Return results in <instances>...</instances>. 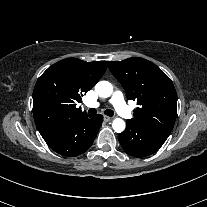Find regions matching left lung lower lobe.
<instances>
[{
    "mask_svg": "<svg viewBox=\"0 0 207 207\" xmlns=\"http://www.w3.org/2000/svg\"><path fill=\"white\" fill-rule=\"evenodd\" d=\"M169 134L142 128L127 120L126 130L118 135L124 151L133 157H146L155 153Z\"/></svg>",
    "mask_w": 207,
    "mask_h": 207,
    "instance_id": "0a47b994",
    "label": "left lung lower lobe"
}]
</instances>
